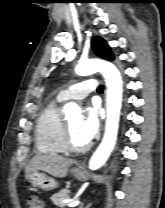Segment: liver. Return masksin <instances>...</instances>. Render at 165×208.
Wrapping results in <instances>:
<instances>
[{
  "instance_id": "1",
  "label": "liver",
  "mask_w": 165,
  "mask_h": 208,
  "mask_svg": "<svg viewBox=\"0 0 165 208\" xmlns=\"http://www.w3.org/2000/svg\"><path fill=\"white\" fill-rule=\"evenodd\" d=\"M74 160L67 159L59 155H41L34 156L26 167V175L32 171H44L54 177L64 178L68 173L69 167Z\"/></svg>"
}]
</instances>
